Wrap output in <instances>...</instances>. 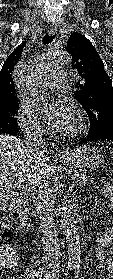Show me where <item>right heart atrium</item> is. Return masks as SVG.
Listing matches in <instances>:
<instances>
[{"mask_svg":"<svg viewBox=\"0 0 113 279\" xmlns=\"http://www.w3.org/2000/svg\"><path fill=\"white\" fill-rule=\"evenodd\" d=\"M16 119L21 130L29 138L39 137L44 133V127L33 109L26 105H20Z\"/></svg>","mask_w":113,"mask_h":279,"instance_id":"obj_1","label":"right heart atrium"}]
</instances>
